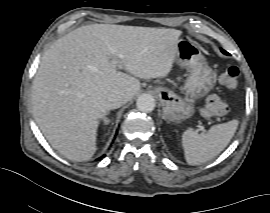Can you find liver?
<instances>
[{"label": "liver", "instance_id": "6515ba94", "mask_svg": "<svg viewBox=\"0 0 270 213\" xmlns=\"http://www.w3.org/2000/svg\"><path fill=\"white\" fill-rule=\"evenodd\" d=\"M180 35L175 29L93 24L54 42L32 90L34 118L51 146L69 160H90L97 151L99 120L118 108L110 93L121 90L130 101L140 90L136 77H166Z\"/></svg>", "mask_w": 270, "mask_h": 213}]
</instances>
